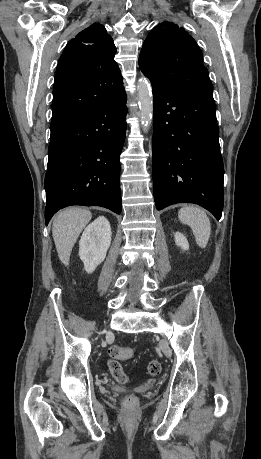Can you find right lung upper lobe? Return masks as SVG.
Segmentation results:
<instances>
[{
  "mask_svg": "<svg viewBox=\"0 0 261 459\" xmlns=\"http://www.w3.org/2000/svg\"><path fill=\"white\" fill-rule=\"evenodd\" d=\"M115 53L113 39L101 24L68 42L55 72L51 127L86 115L124 88Z\"/></svg>",
  "mask_w": 261,
  "mask_h": 459,
  "instance_id": "right-lung-upper-lobe-1",
  "label": "right lung upper lobe"
}]
</instances>
